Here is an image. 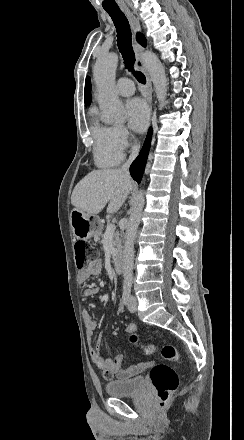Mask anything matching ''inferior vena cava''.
<instances>
[{"instance_id":"inferior-vena-cava-1","label":"inferior vena cava","mask_w":244,"mask_h":440,"mask_svg":"<svg viewBox=\"0 0 244 440\" xmlns=\"http://www.w3.org/2000/svg\"><path fill=\"white\" fill-rule=\"evenodd\" d=\"M139 148H140V146H132L129 160H127L126 164H124V166H122V168H120L121 172H125V174H127V176H129L128 170H129L133 160H135V158H137V156H138Z\"/></svg>"}]
</instances>
